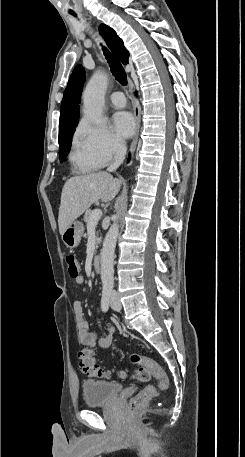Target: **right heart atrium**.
Segmentation results:
<instances>
[{"mask_svg": "<svg viewBox=\"0 0 245 457\" xmlns=\"http://www.w3.org/2000/svg\"><path fill=\"white\" fill-rule=\"evenodd\" d=\"M80 135L89 154L101 164L111 161L124 151V142L103 125L84 120Z\"/></svg>", "mask_w": 245, "mask_h": 457, "instance_id": "1", "label": "right heart atrium"}]
</instances>
